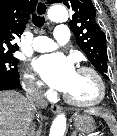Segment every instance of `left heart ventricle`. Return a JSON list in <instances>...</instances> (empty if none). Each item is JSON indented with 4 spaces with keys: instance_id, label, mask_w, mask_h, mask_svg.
Returning <instances> with one entry per match:
<instances>
[{
    "instance_id": "b2bd125f",
    "label": "left heart ventricle",
    "mask_w": 117,
    "mask_h": 136,
    "mask_svg": "<svg viewBox=\"0 0 117 136\" xmlns=\"http://www.w3.org/2000/svg\"><path fill=\"white\" fill-rule=\"evenodd\" d=\"M66 94L77 101H91L98 95L97 82L91 74L77 71Z\"/></svg>"
}]
</instances>
